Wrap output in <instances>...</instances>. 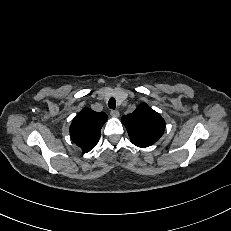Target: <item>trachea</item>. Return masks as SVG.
I'll return each instance as SVG.
<instances>
[{
	"mask_svg": "<svg viewBox=\"0 0 231 231\" xmlns=\"http://www.w3.org/2000/svg\"><path fill=\"white\" fill-rule=\"evenodd\" d=\"M108 107L113 110L116 108V100L114 98H111L108 101Z\"/></svg>",
	"mask_w": 231,
	"mask_h": 231,
	"instance_id": "1",
	"label": "trachea"
}]
</instances>
